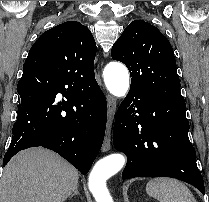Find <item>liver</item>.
<instances>
[{
  "mask_svg": "<svg viewBox=\"0 0 209 202\" xmlns=\"http://www.w3.org/2000/svg\"><path fill=\"white\" fill-rule=\"evenodd\" d=\"M78 171L43 148L18 153L0 180V202H64L78 187Z\"/></svg>",
  "mask_w": 209,
  "mask_h": 202,
  "instance_id": "1",
  "label": "liver"
}]
</instances>
